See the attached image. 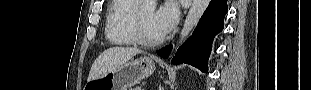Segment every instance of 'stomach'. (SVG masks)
I'll return each mask as SVG.
<instances>
[{"label": "stomach", "instance_id": "obj_1", "mask_svg": "<svg viewBox=\"0 0 311 90\" xmlns=\"http://www.w3.org/2000/svg\"><path fill=\"white\" fill-rule=\"evenodd\" d=\"M156 58L145 56L132 59L102 77L89 81L84 90H130L155 71Z\"/></svg>", "mask_w": 311, "mask_h": 90}]
</instances>
